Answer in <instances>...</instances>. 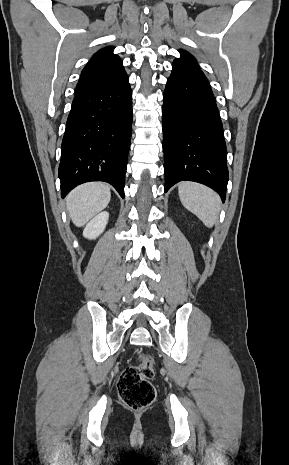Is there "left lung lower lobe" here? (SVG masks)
Here are the masks:
<instances>
[{
    "label": "left lung lower lobe",
    "instance_id": "1",
    "mask_svg": "<svg viewBox=\"0 0 289 465\" xmlns=\"http://www.w3.org/2000/svg\"><path fill=\"white\" fill-rule=\"evenodd\" d=\"M165 192L182 180L205 184L225 201L226 144L217 105L201 70L173 67L163 94Z\"/></svg>",
    "mask_w": 289,
    "mask_h": 465
}]
</instances>
